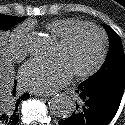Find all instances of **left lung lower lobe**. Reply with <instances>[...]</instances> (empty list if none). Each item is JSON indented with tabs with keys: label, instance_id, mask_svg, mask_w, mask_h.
I'll list each match as a JSON object with an SVG mask.
<instances>
[{
	"label": "left lung lower lobe",
	"instance_id": "obj_1",
	"mask_svg": "<svg viewBox=\"0 0 125 125\" xmlns=\"http://www.w3.org/2000/svg\"><path fill=\"white\" fill-rule=\"evenodd\" d=\"M125 88V79L87 87L79 84L73 114L59 125H108L114 118Z\"/></svg>",
	"mask_w": 125,
	"mask_h": 125
}]
</instances>
